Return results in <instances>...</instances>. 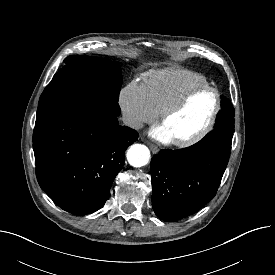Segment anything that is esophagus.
<instances>
[{
    "instance_id": "1",
    "label": "esophagus",
    "mask_w": 275,
    "mask_h": 275,
    "mask_svg": "<svg viewBox=\"0 0 275 275\" xmlns=\"http://www.w3.org/2000/svg\"><path fill=\"white\" fill-rule=\"evenodd\" d=\"M148 146L154 154H157L159 152V148L156 145L148 143Z\"/></svg>"
}]
</instances>
